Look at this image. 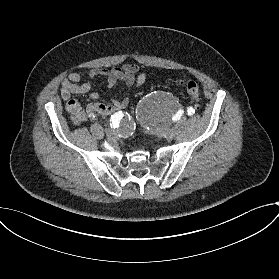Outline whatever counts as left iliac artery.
Instances as JSON below:
<instances>
[{
  "label": "left iliac artery",
  "instance_id": "left-iliac-artery-1",
  "mask_svg": "<svg viewBox=\"0 0 279 279\" xmlns=\"http://www.w3.org/2000/svg\"><path fill=\"white\" fill-rule=\"evenodd\" d=\"M188 115H193L195 113V110L192 107L187 108ZM174 119L177 120V114L174 116Z\"/></svg>",
  "mask_w": 279,
  "mask_h": 279
}]
</instances>
